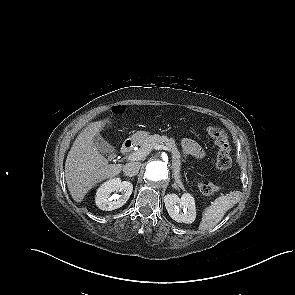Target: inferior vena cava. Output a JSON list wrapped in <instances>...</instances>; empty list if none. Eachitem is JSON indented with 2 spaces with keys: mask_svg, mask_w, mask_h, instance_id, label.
<instances>
[{
  "mask_svg": "<svg viewBox=\"0 0 295 295\" xmlns=\"http://www.w3.org/2000/svg\"><path fill=\"white\" fill-rule=\"evenodd\" d=\"M140 167V162H129L123 166V173L128 177L135 176L138 174Z\"/></svg>",
  "mask_w": 295,
  "mask_h": 295,
  "instance_id": "602c4592",
  "label": "inferior vena cava"
}]
</instances>
